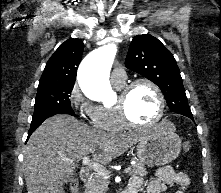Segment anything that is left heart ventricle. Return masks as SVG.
<instances>
[{
    "label": "left heart ventricle",
    "instance_id": "b2bd125f",
    "mask_svg": "<svg viewBox=\"0 0 221 193\" xmlns=\"http://www.w3.org/2000/svg\"><path fill=\"white\" fill-rule=\"evenodd\" d=\"M127 108L136 122L152 121L158 112V99L154 90L147 85L136 86L128 98Z\"/></svg>",
    "mask_w": 221,
    "mask_h": 193
}]
</instances>
